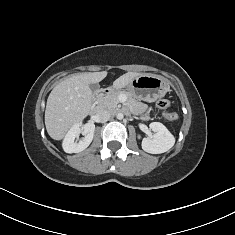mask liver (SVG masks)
<instances>
[{
	"label": "liver",
	"instance_id": "6515ba94",
	"mask_svg": "<svg viewBox=\"0 0 235 235\" xmlns=\"http://www.w3.org/2000/svg\"><path fill=\"white\" fill-rule=\"evenodd\" d=\"M140 75L137 72L125 73L113 82V88L122 89ZM106 76V71L79 73L53 88L45 110V126L52 139H63L69 129L89 115L92 102L90 84H97Z\"/></svg>",
	"mask_w": 235,
	"mask_h": 235
}]
</instances>
